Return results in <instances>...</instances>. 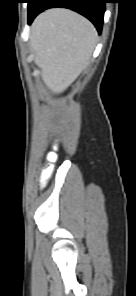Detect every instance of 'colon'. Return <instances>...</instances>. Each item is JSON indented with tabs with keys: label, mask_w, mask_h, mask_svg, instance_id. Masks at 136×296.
I'll return each mask as SVG.
<instances>
[{
	"label": "colon",
	"mask_w": 136,
	"mask_h": 296,
	"mask_svg": "<svg viewBox=\"0 0 136 296\" xmlns=\"http://www.w3.org/2000/svg\"><path fill=\"white\" fill-rule=\"evenodd\" d=\"M47 159H48L49 163H47L42 170V175H41V179H40L41 185H44L45 181L49 178V176L53 170L52 162L56 159V155L54 153H50L47 155Z\"/></svg>",
	"instance_id": "5ec220e1"
}]
</instances>
